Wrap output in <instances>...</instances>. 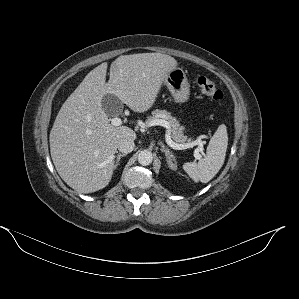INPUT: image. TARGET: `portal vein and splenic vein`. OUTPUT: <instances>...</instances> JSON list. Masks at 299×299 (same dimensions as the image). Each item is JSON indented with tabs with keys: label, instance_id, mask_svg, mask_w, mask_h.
<instances>
[{
	"label": "portal vein and splenic vein",
	"instance_id": "18ae733b",
	"mask_svg": "<svg viewBox=\"0 0 299 299\" xmlns=\"http://www.w3.org/2000/svg\"><path fill=\"white\" fill-rule=\"evenodd\" d=\"M110 121L113 126H120L122 124V120L119 117H114ZM151 125H160V126H163L164 128H166L165 139H166L167 144L173 149L183 150V149H187V148H193L195 145H198V147L194 151V157L198 160H200L202 158V156L200 154V152L203 150V142L202 141L178 144V143H175L171 139L170 125L167 121L157 119V120H154L151 123Z\"/></svg>",
	"mask_w": 299,
	"mask_h": 299
}]
</instances>
